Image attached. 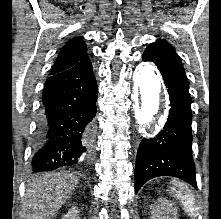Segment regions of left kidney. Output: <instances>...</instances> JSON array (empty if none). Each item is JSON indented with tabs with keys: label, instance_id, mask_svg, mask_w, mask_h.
I'll use <instances>...</instances> for the list:
<instances>
[{
	"label": "left kidney",
	"instance_id": "1",
	"mask_svg": "<svg viewBox=\"0 0 221 219\" xmlns=\"http://www.w3.org/2000/svg\"><path fill=\"white\" fill-rule=\"evenodd\" d=\"M176 213L170 202L160 198L151 208L150 219H176Z\"/></svg>",
	"mask_w": 221,
	"mask_h": 219
}]
</instances>
